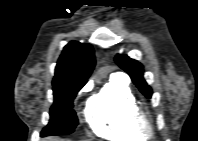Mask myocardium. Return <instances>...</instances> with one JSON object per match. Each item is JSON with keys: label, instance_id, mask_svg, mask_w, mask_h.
<instances>
[{"label": "myocardium", "instance_id": "myocardium-1", "mask_svg": "<svg viewBox=\"0 0 198 141\" xmlns=\"http://www.w3.org/2000/svg\"><path fill=\"white\" fill-rule=\"evenodd\" d=\"M132 122L142 138H152L154 136V122L148 111L136 106L133 109Z\"/></svg>", "mask_w": 198, "mask_h": 141}]
</instances>
